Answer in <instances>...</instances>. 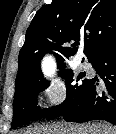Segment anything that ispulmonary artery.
<instances>
[{"label": "pulmonary artery", "mask_w": 116, "mask_h": 134, "mask_svg": "<svg viewBox=\"0 0 116 134\" xmlns=\"http://www.w3.org/2000/svg\"><path fill=\"white\" fill-rule=\"evenodd\" d=\"M80 66H81L82 68H87V67H89V63L86 62V61H83V62H81Z\"/></svg>", "instance_id": "obj_1"}]
</instances>
